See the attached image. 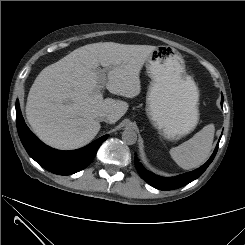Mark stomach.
<instances>
[{
    "label": "stomach",
    "mask_w": 245,
    "mask_h": 245,
    "mask_svg": "<svg viewBox=\"0 0 245 245\" xmlns=\"http://www.w3.org/2000/svg\"><path fill=\"white\" fill-rule=\"evenodd\" d=\"M145 66L151 78L146 112L153 126L169 140L192 132L199 122V91L186 73L182 55L161 45L150 53Z\"/></svg>",
    "instance_id": "1"
}]
</instances>
